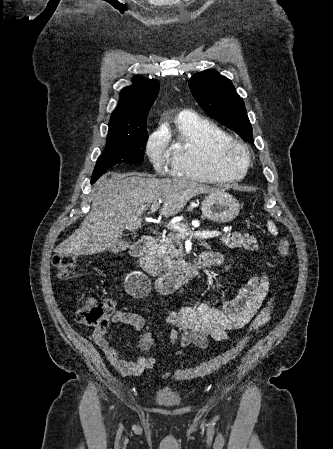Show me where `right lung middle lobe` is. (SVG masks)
<instances>
[{"label":"right lung middle lobe","instance_id":"dd1d6c3e","mask_svg":"<svg viewBox=\"0 0 333 449\" xmlns=\"http://www.w3.org/2000/svg\"><path fill=\"white\" fill-rule=\"evenodd\" d=\"M148 139L146 125L136 136H107L106 148L99 156L92 179L97 180L110 167L119 163L143 162L144 148Z\"/></svg>","mask_w":333,"mask_h":449}]
</instances>
